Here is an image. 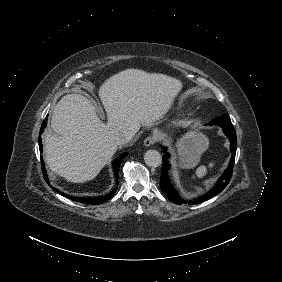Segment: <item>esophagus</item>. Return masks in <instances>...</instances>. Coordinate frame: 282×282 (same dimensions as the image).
<instances>
[{
  "instance_id": "obj_1",
  "label": "esophagus",
  "mask_w": 282,
  "mask_h": 282,
  "mask_svg": "<svg viewBox=\"0 0 282 282\" xmlns=\"http://www.w3.org/2000/svg\"><path fill=\"white\" fill-rule=\"evenodd\" d=\"M156 141V138L154 136L147 137L144 141V146L150 147L152 146Z\"/></svg>"
}]
</instances>
